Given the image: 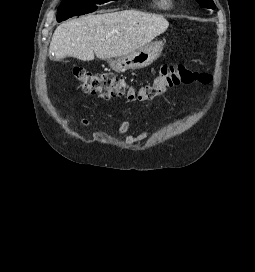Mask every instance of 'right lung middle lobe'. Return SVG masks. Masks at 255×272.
Wrapping results in <instances>:
<instances>
[{
    "mask_svg": "<svg viewBox=\"0 0 255 272\" xmlns=\"http://www.w3.org/2000/svg\"><path fill=\"white\" fill-rule=\"evenodd\" d=\"M113 0H62L57 10V21L61 22L73 16L94 12L96 4H103Z\"/></svg>",
    "mask_w": 255,
    "mask_h": 272,
    "instance_id": "obj_1",
    "label": "right lung middle lobe"
}]
</instances>
